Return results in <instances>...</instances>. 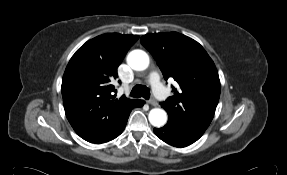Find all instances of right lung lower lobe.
I'll return each mask as SVG.
<instances>
[{"instance_id":"obj_1","label":"right lung lower lobe","mask_w":287,"mask_h":175,"mask_svg":"<svg viewBox=\"0 0 287 175\" xmlns=\"http://www.w3.org/2000/svg\"><path fill=\"white\" fill-rule=\"evenodd\" d=\"M144 103L145 102L141 100L140 102H138L135 105V107H142L144 105ZM130 112H128L123 117V119L120 121V123L110 133H108L107 135H105L104 137H102L101 139H99V140H97L96 142H93V143H95V144L105 143V142L111 141V140L115 139L117 136H119L123 132V130H124L125 126H126V123H127L128 117L130 115Z\"/></svg>"}]
</instances>
